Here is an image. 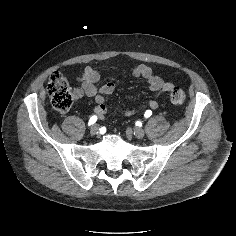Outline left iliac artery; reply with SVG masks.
<instances>
[{
	"instance_id": "1",
	"label": "left iliac artery",
	"mask_w": 236,
	"mask_h": 236,
	"mask_svg": "<svg viewBox=\"0 0 236 236\" xmlns=\"http://www.w3.org/2000/svg\"><path fill=\"white\" fill-rule=\"evenodd\" d=\"M151 115H152V111L147 110V111L145 112V114H144V117H145V118H148V117H150Z\"/></svg>"
}]
</instances>
